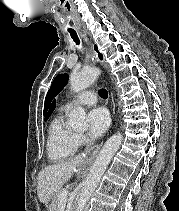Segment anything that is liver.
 I'll list each match as a JSON object with an SVG mask.
<instances>
[{
  "mask_svg": "<svg viewBox=\"0 0 179 211\" xmlns=\"http://www.w3.org/2000/svg\"><path fill=\"white\" fill-rule=\"evenodd\" d=\"M84 164L82 156H77L65 162L45 167L38 174L37 195L45 205H48L56 192L77 173Z\"/></svg>",
  "mask_w": 179,
  "mask_h": 211,
  "instance_id": "1",
  "label": "liver"
}]
</instances>
